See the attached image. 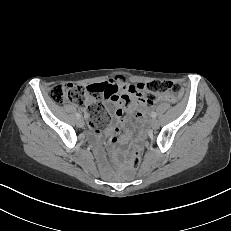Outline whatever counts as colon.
<instances>
[{
	"mask_svg": "<svg viewBox=\"0 0 231 231\" xmlns=\"http://www.w3.org/2000/svg\"><path fill=\"white\" fill-rule=\"evenodd\" d=\"M89 85L87 87L75 85V84H59L54 86L50 91L51 99L57 103L62 104L65 102H73L78 104L81 108H83L89 118L90 124L94 127H102L109 120V116L106 113L104 106L101 102L95 101L99 96L91 95V87ZM146 91V95L144 96V101L148 105H153L158 96L169 94L171 96H178L182 89L181 86L170 82V81H161L156 80L147 83L144 86ZM99 90H103L101 87ZM93 97L91 101H87L88 97ZM142 158V149L136 145L133 147L130 158V168L132 170H137L141 164Z\"/></svg>",
	"mask_w": 231,
	"mask_h": 231,
	"instance_id": "1",
	"label": "colon"
}]
</instances>
